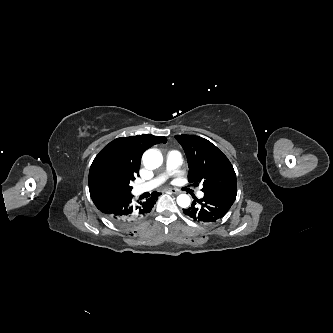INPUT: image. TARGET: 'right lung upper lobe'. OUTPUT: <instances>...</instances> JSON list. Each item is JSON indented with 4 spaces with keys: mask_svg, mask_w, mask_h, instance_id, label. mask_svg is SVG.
Wrapping results in <instances>:
<instances>
[{
    "mask_svg": "<svg viewBox=\"0 0 333 333\" xmlns=\"http://www.w3.org/2000/svg\"><path fill=\"white\" fill-rule=\"evenodd\" d=\"M166 141L165 137L153 135L120 137L113 140L98 153L90 167L89 190L97 188L93 181V171L97 165L103 162H113L137 174L143 152L152 145L166 143Z\"/></svg>",
    "mask_w": 333,
    "mask_h": 333,
    "instance_id": "1",
    "label": "right lung upper lobe"
}]
</instances>
